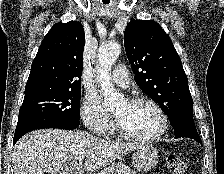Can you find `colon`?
Here are the masks:
<instances>
[{"instance_id": "1", "label": "colon", "mask_w": 224, "mask_h": 174, "mask_svg": "<svg viewBox=\"0 0 224 174\" xmlns=\"http://www.w3.org/2000/svg\"><path fill=\"white\" fill-rule=\"evenodd\" d=\"M167 167L171 174H183L186 169L185 162L176 155H170L167 157Z\"/></svg>"}]
</instances>
